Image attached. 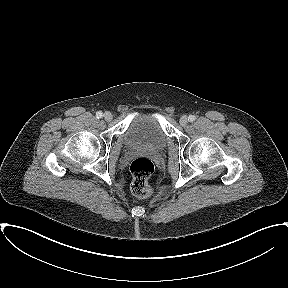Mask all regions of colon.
<instances>
[{"instance_id":"5ec220e1","label":"colon","mask_w":288,"mask_h":288,"mask_svg":"<svg viewBox=\"0 0 288 288\" xmlns=\"http://www.w3.org/2000/svg\"><path fill=\"white\" fill-rule=\"evenodd\" d=\"M132 173L131 191L136 198H147L151 195L152 189L149 185V178L154 171V164L148 158H137L130 165Z\"/></svg>"}]
</instances>
